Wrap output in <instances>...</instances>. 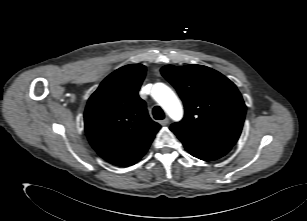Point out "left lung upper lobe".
<instances>
[{
	"label": "left lung upper lobe",
	"instance_id": "1",
	"mask_svg": "<svg viewBox=\"0 0 307 221\" xmlns=\"http://www.w3.org/2000/svg\"><path fill=\"white\" fill-rule=\"evenodd\" d=\"M161 74L184 102V118L170 127L178 138L227 147L237 142L246 106L233 82L203 65H167Z\"/></svg>",
	"mask_w": 307,
	"mask_h": 221
}]
</instances>
